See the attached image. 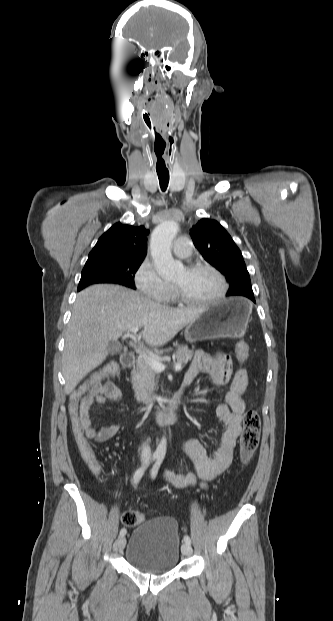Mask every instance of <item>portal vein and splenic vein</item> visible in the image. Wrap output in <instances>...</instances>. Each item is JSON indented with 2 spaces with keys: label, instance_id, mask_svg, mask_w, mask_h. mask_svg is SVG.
I'll return each mask as SVG.
<instances>
[{
  "label": "portal vein and splenic vein",
  "instance_id": "1",
  "mask_svg": "<svg viewBox=\"0 0 333 621\" xmlns=\"http://www.w3.org/2000/svg\"><path fill=\"white\" fill-rule=\"evenodd\" d=\"M139 330V327H132L130 329V332L132 334H136ZM138 351L140 352V356L145 358L146 361L149 363V365L156 371V372H162L163 370H165L166 366L164 364H162L157 358H152L150 356H147L144 352L141 351L140 348H138ZM174 370L175 371H180L182 369V365L180 363H176L174 365Z\"/></svg>",
  "mask_w": 333,
  "mask_h": 621
}]
</instances>
